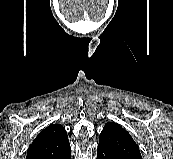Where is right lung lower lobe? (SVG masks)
<instances>
[{
    "label": "right lung lower lobe",
    "instance_id": "obj_1",
    "mask_svg": "<svg viewBox=\"0 0 173 159\" xmlns=\"http://www.w3.org/2000/svg\"><path fill=\"white\" fill-rule=\"evenodd\" d=\"M58 159H71V150L60 156Z\"/></svg>",
    "mask_w": 173,
    "mask_h": 159
}]
</instances>
